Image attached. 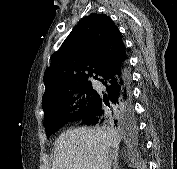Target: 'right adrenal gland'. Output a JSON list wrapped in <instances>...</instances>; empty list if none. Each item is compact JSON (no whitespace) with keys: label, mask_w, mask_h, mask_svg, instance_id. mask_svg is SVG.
I'll use <instances>...</instances> for the list:
<instances>
[{"label":"right adrenal gland","mask_w":177,"mask_h":169,"mask_svg":"<svg viewBox=\"0 0 177 169\" xmlns=\"http://www.w3.org/2000/svg\"><path fill=\"white\" fill-rule=\"evenodd\" d=\"M113 153V169H120L118 164V150H115Z\"/></svg>","instance_id":"2a0ac1e0"}]
</instances>
